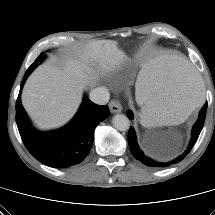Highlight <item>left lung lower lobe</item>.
I'll use <instances>...</instances> for the list:
<instances>
[{
	"instance_id": "left-lung-lower-lobe-1",
	"label": "left lung lower lobe",
	"mask_w": 215,
	"mask_h": 215,
	"mask_svg": "<svg viewBox=\"0 0 215 215\" xmlns=\"http://www.w3.org/2000/svg\"><path fill=\"white\" fill-rule=\"evenodd\" d=\"M206 110H207V102L202 107V109L199 113V119L197 120V122L195 123V125L193 127L192 138L190 140V143H189L187 149L185 150V152L182 155H180L179 157H177L176 159H174L170 162H161V161H157V160H154V159L146 156L137 144L135 130L133 129V127H130L129 134H128V142H129L130 151H131L133 157L135 159L141 161L143 164H145L147 166L157 167V168L169 167L172 164L180 162L187 156V154L190 152V150L195 145V143L199 137V134L203 128V125H204V121H205V117H206ZM126 114L130 119L133 118V113L131 110H128Z\"/></svg>"
}]
</instances>
